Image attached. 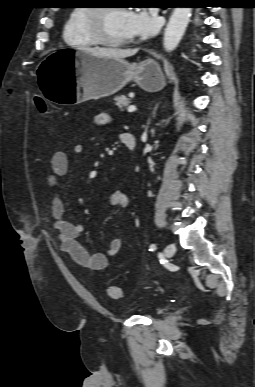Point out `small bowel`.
<instances>
[{
    "label": "small bowel",
    "mask_w": 255,
    "mask_h": 387,
    "mask_svg": "<svg viewBox=\"0 0 255 387\" xmlns=\"http://www.w3.org/2000/svg\"><path fill=\"white\" fill-rule=\"evenodd\" d=\"M112 120L108 114H100L95 121L98 125H106ZM84 146L81 143L74 145L72 152H55L50 160V173L46 176V183L52 192L51 216L53 228L60 242V248L67 253L78 265L90 270H104L109 263V259L115 256L123 244L122 236L115 237L104 253H90L79 242L78 238L83 234L82 224L64 219L65 207L60 194L59 177L68 171L72 159L82 154ZM109 201L113 206L126 207L128 198L122 187H115L109 194Z\"/></svg>",
    "instance_id": "1"
}]
</instances>
